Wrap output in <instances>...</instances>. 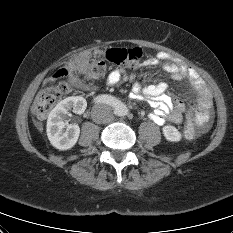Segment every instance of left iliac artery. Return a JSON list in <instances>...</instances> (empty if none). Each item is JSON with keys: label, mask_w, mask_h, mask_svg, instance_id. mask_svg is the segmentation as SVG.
<instances>
[{"label": "left iliac artery", "mask_w": 233, "mask_h": 233, "mask_svg": "<svg viewBox=\"0 0 233 233\" xmlns=\"http://www.w3.org/2000/svg\"><path fill=\"white\" fill-rule=\"evenodd\" d=\"M114 113L117 115H123L125 113L124 108L122 107V104L118 101L117 106L115 107Z\"/></svg>", "instance_id": "obj_1"}]
</instances>
